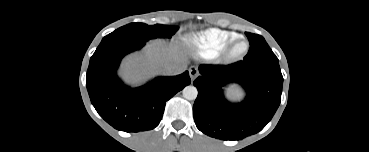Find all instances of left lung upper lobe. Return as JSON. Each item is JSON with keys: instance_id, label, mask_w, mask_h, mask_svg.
<instances>
[{"instance_id": "5c2ea615", "label": "left lung upper lobe", "mask_w": 369, "mask_h": 152, "mask_svg": "<svg viewBox=\"0 0 369 152\" xmlns=\"http://www.w3.org/2000/svg\"><path fill=\"white\" fill-rule=\"evenodd\" d=\"M250 42L248 54L244 57L246 61H278L265 39L257 34L245 33Z\"/></svg>"}]
</instances>
